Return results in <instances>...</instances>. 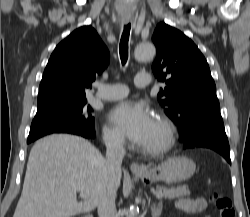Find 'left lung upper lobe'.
I'll list each match as a JSON object with an SVG mask.
<instances>
[{
  "label": "left lung upper lobe",
  "mask_w": 250,
  "mask_h": 217,
  "mask_svg": "<svg viewBox=\"0 0 250 217\" xmlns=\"http://www.w3.org/2000/svg\"><path fill=\"white\" fill-rule=\"evenodd\" d=\"M152 40L157 48L152 70L159 81L168 85L161 89L158 100L179 132L192 119L219 112L216 86L198 47L164 22L157 25Z\"/></svg>",
  "instance_id": "1"
}]
</instances>
